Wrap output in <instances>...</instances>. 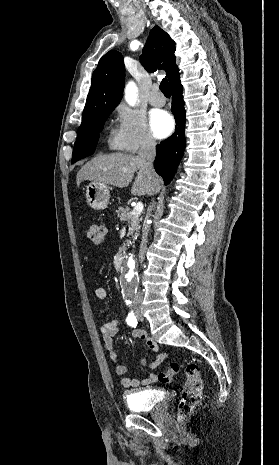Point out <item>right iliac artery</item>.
Masks as SVG:
<instances>
[{"label": "right iliac artery", "instance_id": "obj_1", "mask_svg": "<svg viewBox=\"0 0 279 465\" xmlns=\"http://www.w3.org/2000/svg\"><path fill=\"white\" fill-rule=\"evenodd\" d=\"M126 322L129 326H132V327H136L137 325V319H136V316L134 315V313L131 311L127 318H126Z\"/></svg>", "mask_w": 279, "mask_h": 465}]
</instances>
